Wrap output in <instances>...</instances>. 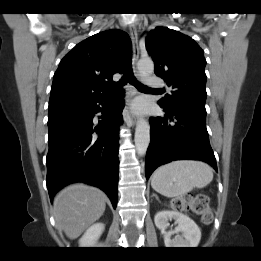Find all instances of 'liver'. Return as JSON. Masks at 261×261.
I'll use <instances>...</instances> for the list:
<instances>
[{
  "label": "liver",
  "instance_id": "liver-1",
  "mask_svg": "<svg viewBox=\"0 0 261 261\" xmlns=\"http://www.w3.org/2000/svg\"><path fill=\"white\" fill-rule=\"evenodd\" d=\"M106 195L99 189L74 184L62 190L54 200L57 225L70 239L78 238L105 211Z\"/></svg>",
  "mask_w": 261,
  "mask_h": 261
}]
</instances>
